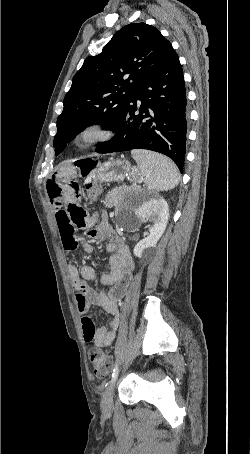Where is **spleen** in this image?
Wrapping results in <instances>:
<instances>
[{"mask_svg":"<svg viewBox=\"0 0 250 454\" xmlns=\"http://www.w3.org/2000/svg\"><path fill=\"white\" fill-rule=\"evenodd\" d=\"M131 154L150 191H168L178 185L177 167L168 157L145 150H133Z\"/></svg>","mask_w":250,"mask_h":454,"instance_id":"3e777b00","label":"spleen"}]
</instances>
